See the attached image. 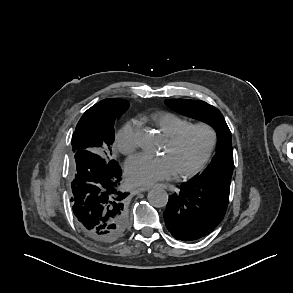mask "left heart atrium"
<instances>
[{
	"label": "left heart atrium",
	"mask_w": 293,
	"mask_h": 293,
	"mask_svg": "<svg viewBox=\"0 0 293 293\" xmlns=\"http://www.w3.org/2000/svg\"><path fill=\"white\" fill-rule=\"evenodd\" d=\"M176 173L169 156H152L140 153L131 157L126 163L128 180L136 185H153L169 179Z\"/></svg>",
	"instance_id": "1"
}]
</instances>
